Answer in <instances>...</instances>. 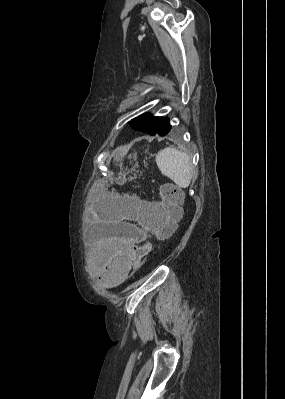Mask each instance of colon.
Returning <instances> with one entry per match:
<instances>
[{
  "instance_id": "colon-1",
  "label": "colon",
  "mask_w": 285,
  "mask_h": 399,
  "mask_svg": "<svg viewBox=\"0 0 285 399\" xmlns=\"http://www.w3.org/2000/svg\"><path fill=\"white\" fill-rule=\"evenodd\" d=\"M162 195L161 209L165 212L167 220L158 230V239L168 238L176 229L177 223L181 216V194L176 188L170 186H162L160 188ZM152 251V244L145 242L139 244L134 250V265L138 269L143 259Z\"/></svg>"
}]
</instances>
